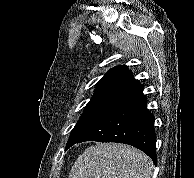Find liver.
<instances>
[{
  "label": "liver",
  "mask_w": 194,
  "mask_h": 178,
  "mask_svg": "<svg viewBox=\"0 0 194 178\" xmlns=\"http://www.w3.org/2000/svg\"><path fill=\"white\" fill-rule=\"evenodd\" d=\"M154 165L140 150L125 144L88 147L71 168L69 178H152Z\"/></svg>",
  "instance_id": "liver-1"
}]
</instances>
